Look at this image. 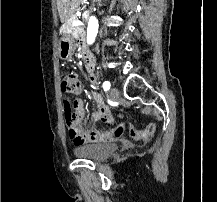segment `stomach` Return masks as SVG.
<instances>
[{
  "mask_svg": "<svg viewBox=\"0 0 217 202\" xmlns=\"http://www.w3.org/2000/svg\"><path fill=\"white\" fill-rule=\"evenodd\" d=\"M58 52L59 58H61V60H69V58L73 56L74 40L71 38V36L64 34V36L60 38Z\"/></svg>",
  "mask_w": 217,
  "mask_h": 202,
  "instance_id": "0dacf381",
  "label": "stomach"
}]
</instances>
